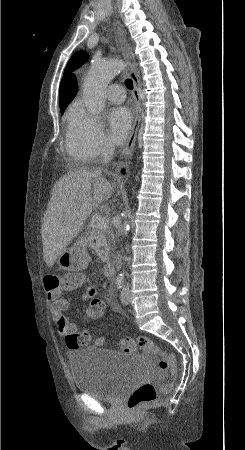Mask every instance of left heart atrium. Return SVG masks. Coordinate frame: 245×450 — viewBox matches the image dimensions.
<instances>
[{
	"label": "left heart atrium",
	"instance_id": "39dd6f15",
	"mask_svg": "<svg viewBox=\"0 0 245 450\" xmlns=\"http://www.w3.org/2000/svg\"><path fill=\"white\" fill-rule=\"evenodd\" d=\"M108 132L114 144H121L127 138L132 125L130 110L124 106L114 107L107 114Z\"/></svg>",
	"mask_w": 245,
	"mask_h": 450
}]
</instances>
